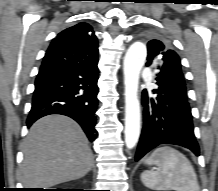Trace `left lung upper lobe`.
<instances>
[{
	"label": "left lung upper lobe",
	"mask_w": 218,
	"mask_h": 191,
	"mask_svg": "<svg viewBox=\"0 0 218 191\" xmlns=\"http://www.w3.org/2000/svg\"><path fill=\"white\" fill-rule=\"evenodd\" d=\"M147 47V66L152 65L157 70L163 91L170 93L175 90L187 96L180 58L176 52L159 40H150Z\"/></svg>",
	"instance_id": "obj_1"
}]
</instances>
